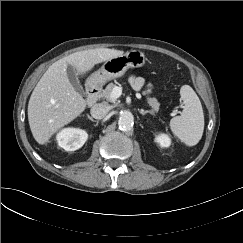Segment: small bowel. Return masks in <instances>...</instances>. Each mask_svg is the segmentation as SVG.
I'll use <instances>...</instances> for the list:
<instances>
[{"mask_svg": "<svg viewBox=\"0 0 243 243\" xmlns=\"http://www.w3.org/2000/svg\"><path fill=\"white\" fill-rule=\"evenodd\" d=\"M129 82L131 84V86L135 89V90H142L144 89V91L146 93L151 91V86L150 85H145V81L143 78L141 77H137V76H131L129 78Z\"/></svg>", "mask_w": 243, "mask_h": 243, "instance_id": "obj_1", "label": "small bowel"}]
</instances>
